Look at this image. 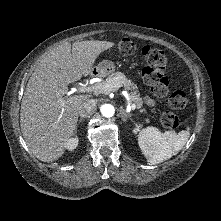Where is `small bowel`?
Masks as SVG:
<instances>
[{"instance_id": "1", "label": "small bowel", "mask_w": 221, "mask_h": 221, "mask_svg": "<svg viewBox=\"0 0 221 221\" xmlns=\"http://www.w3.org/2000/svg\"><path fill=\"white\" fill-rule=\"evenodd\" d=\"M146 102H147V104L150 105V106H153V105H154L153 100H151L150 98H147V99H146Z\"/></svg>"}]
</instances>
